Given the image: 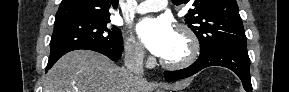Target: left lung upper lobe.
<instances>
[{
	"mask_svg": "<svg viewBox=\"0 0 289 92\" xmlns=\"http://www.w3.org/2000/svg\"><path fill=\"white\" fill-rule=\"evenodd\" d=\"M190 0H172L176 5ZM194 1V2H193ZM185 22L200 42V56L225 45H246L236 0H192Z\"/></svg>",
	"mask_w": 289,
	"mask_h": 92,
	"instance_id": "5c2ea615",
	"label": "left lung upper lobe"
}]
</instances>
